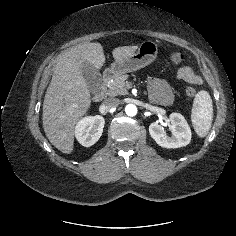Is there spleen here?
Masks as SVG:
<instances>
[{
    "mask_svg": "<svg viewBox=\"0 0 236 236\" xmlns=\"http://www.w3.org/2000/svg\"><path fill=\"white\" fill-rule=\"evenodd\" d=\"M213 105L207 91H199L193 102L191 121L199 137H205L212 125Z\"/></svg>",
    "mask_w": 236,
    "mask_h": 236,
    "instance_id": "obj_1",
    "label": "spleen"
}]
</instances>
